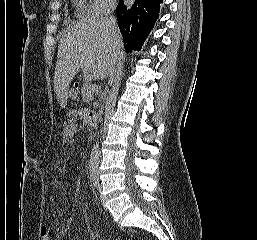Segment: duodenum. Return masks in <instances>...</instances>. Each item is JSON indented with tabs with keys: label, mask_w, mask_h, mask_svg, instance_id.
Masks as SVG:
<instances>
[{
	"label": "duodenum",
	"mask_w": 257,
	"mask_h": 240,
	"mask_svg": "<svg viewBox=\"0 0 257 240\" xmlns=\"http://www.w3.org/2000/svg\"><path fill=\"white\" fill-rule=\"evenodd\" d=\"M92 120H93V125L96 126L97 123L101 120V114L100 113H96L92 116Z\"/></svg>",
	"instance_id": "1"
}]
</instances>
